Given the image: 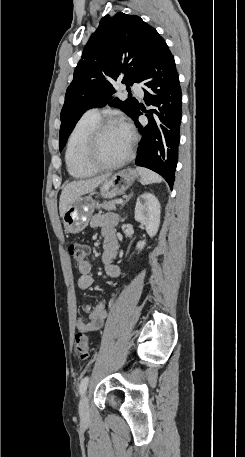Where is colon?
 Here are the masks:
<instances>
[{
	"label": "colon",
	"mask_w": 245,
	"mask_h": 457,
	"mask_svg": "<svg viewBox=\"0 0 245 457\" xmlns=\"http://www.w3.org/2000/svg\"><path fill=\"white\" fill-rule=\"evenodd\" d=\"M68 252L73 260L79 264L86 260L89 249L84 244L73 242L69 244ZM74 348L81 359H86L89 356V339L85 331L79 330L75 334Z\"/></svg>",
	"instance_id": "colon-1"
}]
</instances>
